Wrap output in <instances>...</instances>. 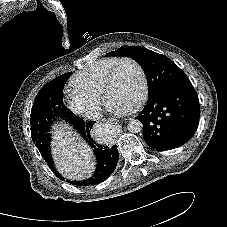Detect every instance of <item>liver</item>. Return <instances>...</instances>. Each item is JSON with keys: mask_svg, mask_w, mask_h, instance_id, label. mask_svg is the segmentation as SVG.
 <instances>
[{"mask_svg": "<svg viewBox=\"0 0 227 227\" xmlns=\"http://www.w3.org/2000/svg\"><path fill=\"white\" fill-rule=\"evenodd\" d=\"M53 146L55 165L64 177L81 180L92 174L94 162L91 149L72 135L71 131L57 128L54 131Z\"/></svg>", "mask_w": 227, "mask_h": 227, "instance_id": "1", "label": "liver"}]
</instances>
